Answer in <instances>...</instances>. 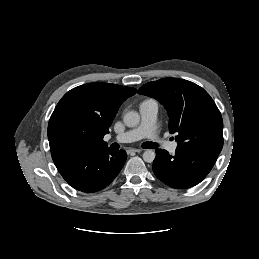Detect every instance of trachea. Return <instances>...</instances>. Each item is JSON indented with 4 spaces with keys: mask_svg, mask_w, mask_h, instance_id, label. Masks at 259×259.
<instances>
[{
    "mask_svg": "<svg viewBox=\"0 0 259 259\" xmlns=\"http://www.w3.org/2000/svg\"><path fill=\"white\" fill-rule=\"evenodd\" d=\"M158 145L156 143H153V142H145L143 143L142 147L143 148H150V149H153V148H156Z\"/></svg>",
    "mask_w": 259,
    "mask_h": 259,
    "instance_id": "obj_1",
    "label": "trachea"
}]
</instances>
